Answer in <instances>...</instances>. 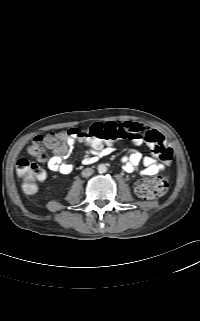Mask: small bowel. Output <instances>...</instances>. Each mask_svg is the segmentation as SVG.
Instances as JSON below:
<instances>
[{
	"mask_svg": "<svg viewBox=\"0 0 200 321\" xmlns=\"http://www.w3.org/2000/svg\"><path fill=\"white\" fill-rule=\"evenodd\" d=\"M104 129H113L121 135V138L129 139L135 145L146 144L151 149V154L143 156L137 151H130L125 154L122 161V168L127 173L139 171L142 176H154L161 172L167 164L164 157L168 151H172L165 137L156 129L143 125L138 122L125 121L122 123L107 122L105 124H96ZM77 128H71L69 131L74 132ZM76 138L73 133L64 150H53L54 155L50 158H44L41 162H45L47 167L53 171L63 175H69L74 170V165L65 161L64 157L69 150L73 139ZM113 141H108L99 147H93L85 156V161L90 162L98 156H105L110 153V146ZM141 168L139 169V167ZM45 178V177H44Z\"/></svg>",
	"mask_w": 200,
	"mask_h": 321,
	"instance_id": "small-bowel-1",
	"label": "small bowel"
}]
</instances>
